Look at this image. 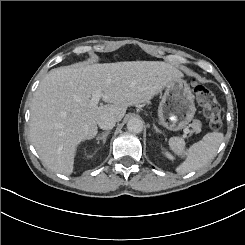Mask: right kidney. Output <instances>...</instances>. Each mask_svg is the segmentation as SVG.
Segmentation results:
<instances>
[{"label": "right kidney", "mask_w": 245, "mask_h": 245, "mask_svg": "<svg viewBox=\"0 0 245 245\" xmlns=\"http://www.w3.org/2000/svg\"><path fill=\"white\" fill-rule=\"evenodd\" d=\"M91 151H97V149L93 147L91 148ZM92 157H93L92 152L85 154V159H91Z\"/></svg>", "instance_id": "ca27d5eb"}]
</instances>
